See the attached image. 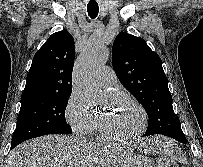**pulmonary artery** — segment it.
Returning a JSON list of instances; mask_svg holds the SVG:
<instances>
[{"instance_id":"obj_1","label":"pulmonary artery","mask_w":203,"mask_h":167,"mask_svg":"<svg viewBox=\"0 0 203 167\" xmlns=\"http://www.w3.org/2000/svg\"><path fill=\"white\" fill-rule=\"evenodd\" d=\"M96 81L99 86L104 89H112V87L116 83V74L114 70L109 67L105 66L98 70L96 74Z\"/></svg>"}]
</instances>
